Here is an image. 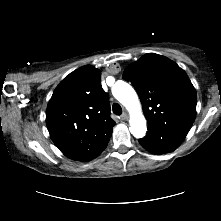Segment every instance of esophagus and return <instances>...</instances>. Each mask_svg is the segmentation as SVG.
<instances>
[{
  "instance_id": "34e87169",
  "label": "esophagus",
  "mask_w": 221,
  "mask_h": 221,
  "mask_svg": "<svg viewBox=\"0 0 221 221\" xmlns=\"http://www.w3.org/2000/svg\"><path fill=\"white\" fill-rule=\"evenodd\" d=\"M121 118L123 120H128V114L126 112H124L122 115H121Z\"/></svg>"
}]
</instances>
